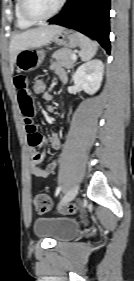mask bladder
Instances as JSON below:
<instances>
[{"instance_id":"31cf9c89","label":"bladder","mask_w":134,"mask_h":281,"mask_svg":"<svg viewBox=\"0 0 134 281\" xmlns=\"http://www.w3.org/2000/svg\"><path fill=\"white\" fill-rule=\"evenodd\" d=\"M79 230V222L71 218L39 217L34 223V232L42 238L60 242L71 239Z\"/></svg>"}]
</instances>
